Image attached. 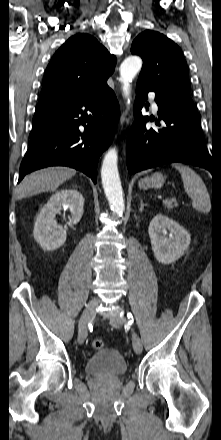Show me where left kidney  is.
I'll use <instances>...</instances> for the list:
<instances>
[{"label": "left kidney", "instance_id": "5707ae66", "mask_svg": "<svg viewBox=\"0 0 221 440\" xmlns=\"http://www.w3.org/2000/svg\"><path fill=\"white\" fill-rule=\"evenodd\" d=\"M148 233L156 259L170 264L188 249L191 237L179 223L163 214H157L149 224Z\"/></svg>", "mask_w": 221, "mask_h": 440}]
</instances>
